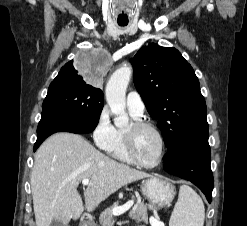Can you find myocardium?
Segmentation results:
<instances>
[{
    "instance_id": "obj_1",
    "label": "myocardium",
    "mask_w": 247,
    "mask_h": 226,
    "mask_svg": "<svg viewBox=\"0 0 247 226\" xmlns=\"http://www.w3.org/2000/svg\"><path fill=\"white\" fill-rule=\"evenodd\" d=\"M150 129L152 130L158 137L159 141H160V155L159 158L157 159L156 162L148 164V163H144L143 161H141L135 151L134 148V134L136 131L140 130V129ZM124 144H125V149L127 152L128 157L130 158V160L135 163L136 165L143 167V168H147V169H153L156 168L158 166L161 165V163L164 160V157L166 155V142H165V138L162 134V132L160 131V129L154 125L151 122L148 121H144V120H135L130 127L124 131Z\"/></svg>"
}]
</instances>
